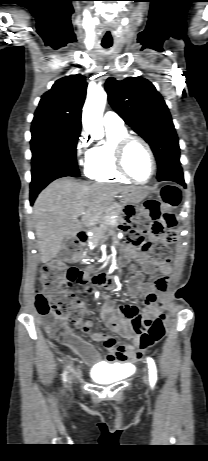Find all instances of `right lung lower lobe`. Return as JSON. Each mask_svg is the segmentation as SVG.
Returning <instances> with one entry per match:
<instances>
[{"label": "right lung lower lobe", "mask_w": 208, "mask_h": 461, "mask_svg": "<svg viewBox=\"0 0 208 461\" xmlns=\"http://www.w3.org/2000/svg\"><path fill=\"white\" fill-rule=\"evenodd\" d=\"M72 176L76 177L74 174L66 171L65 169H51L48 171L43 172L41 175L32 178L30 184V203L33 205L35 198L39 194V192L46 187L50 182L55 179Z\"/></svg>", "instance_id": "obj_1"}]
</instances>
